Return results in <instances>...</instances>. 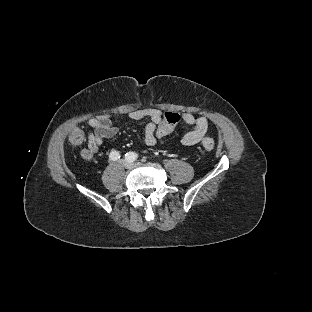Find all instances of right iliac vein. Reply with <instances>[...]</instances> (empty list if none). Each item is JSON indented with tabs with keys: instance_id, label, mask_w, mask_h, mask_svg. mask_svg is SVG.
<instances>
[{
	"instance_id": "63e3f726",
	"label": "right iliac vein",
	"mask_w": 312,
	"mask_h": 312,
	"mask_svg": "<svg viewBox=\"0 0 312 312\" xmlns=\"http://www.w3.org/2000/svg\"><path fill=\"white\" fill-rule=\"evenodd\" d=\"M123 165L126 168H130L132 166V161L126 159L125 161H123Z\"/></svg>"
}]
</instances>
